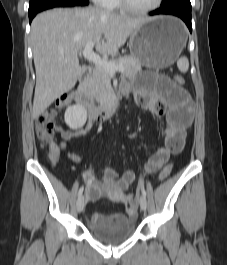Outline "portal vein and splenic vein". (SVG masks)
Segmentation results:
<instances>
[{
	"mask_svg": "<svg viewBox=\"0 0 227 265\" xmlns=\"http://www.w3.org/2000/svg\"><path fill=\"white\" fill-rule=\"evenodd\" d=\"M94 42H88L83 49V56L92 61L99 67L104 68L110 75H114L117 71L123 72L125 70L123 65H115L105 59H102L99 55L93 52Z\"/></svg>",
	"mask_w": 227,
	"mask_h": 265,
	"instance_id": "portal-vein-and-splenic-vein-1",
	"label": "portal vein and splenic vein"
}]
</instances>
